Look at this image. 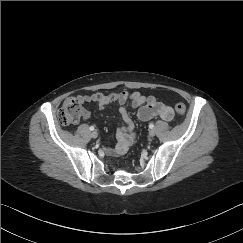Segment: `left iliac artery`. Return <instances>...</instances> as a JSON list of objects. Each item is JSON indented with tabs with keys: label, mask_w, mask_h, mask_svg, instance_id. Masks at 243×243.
<instances>
[{
	"label": "left iliac artery",
	"mask_w": 243,
	"mask_h": 243,
	"mask_svg": "<svg viewBox=\"0 0 243 243\" xmlns=\"http://www.w3.org/2000/svg\"><path fill=\"white\" fill-rule=\"evenodd\" d=\"M149 128H150V129H153V128H154V124H153V123H150V124H149Z\"/></svg>",
	"instance_id": "left-iliac-artery-1"
}]
</instances>
